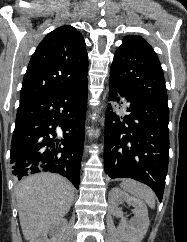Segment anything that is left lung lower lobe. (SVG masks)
Here are the masks:
<instances>
[{
    "label": "left lung lower lobe",
    "instance_id": "1",
    "mask_svg": "<svg viewBox=\"0 0 187 242\" xmlns=\"http://www.w3.org/2000/svg\"><path fill=\"white\" fill-rule=\"evenodd\" d=\"M126 100L119 117L108 105L104 164L110 178H132L150 186L162 201L169 163V109L110 79L109 101Z\"/></svg>",
    "mask_w": 187,
    "mask_h": 242
}]
</instances>
